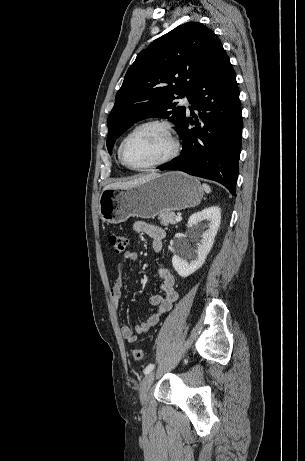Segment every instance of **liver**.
<instances>
[{"mask_svg":"<svg viewBox=\"0 0 305 461\" xmlns=\"http://www.w3.org/2000/svg\"><path fill=\"white\" fill-rule=\"evenodd\" d=\"M157 176V174L153 173V174H149V175H146V176H141L139 178H136V179H133V180H130V181H126V182H115V183H111V184H108L104 187L103 190H107V189H124V188H130V187H133L137 184H140L152 177H155Z\"/></svg>","mask_w":305,"mask_h":461,"instance_id":"1","label":"liver"}]
</instances>
